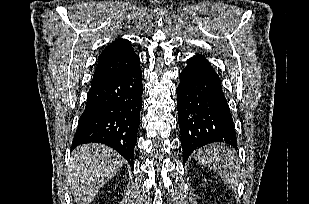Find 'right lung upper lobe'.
Returning <instances> with one entry per match:
<instances>
[{"mask_svg":"<svg viewBox=\"0 0 309 204\" xmlns=\"http://www.w3.org/2000/svg\"><path fill=\"white\" fill-rule=\"evenodd\" d=\"M139 61L131 42L121 38L117 39L106 46L98 57L92 84L122 74L136 67Z\"/></svg>","mask_w":309,"mask_h":204,"instance_id":"1","label":"right lung upper lobe"}]
</instances>
